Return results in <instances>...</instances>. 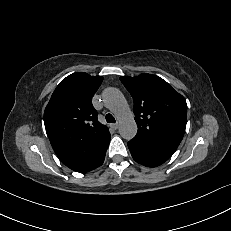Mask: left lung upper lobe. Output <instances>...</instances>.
Returning <instances> with one entry per match:
<instances>
[{"instance_id":"left-lung-upper-lobe-1","label":"left lung upper lobe","mask_w":231,"mask_h":231,"mask_svg":"<svg viewBox=\"0 0 231 231\" xmlns=\"http://www.w3.org/2000/svg\"><path fill=\"white\" fill-rule=\"evenodd\" d=\"M120 80L134 101L138 126L134 138L175 152L186 128L187 104L184 97L156 75L122 76Z\"/></svg>"}]
</instances>
